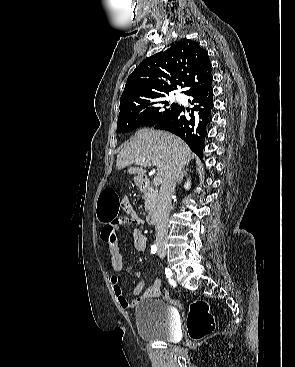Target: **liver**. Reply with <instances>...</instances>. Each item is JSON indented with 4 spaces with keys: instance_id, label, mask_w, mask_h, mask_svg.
Wrapping results in <instances>:
<instances>
[{
    "instance_id": "6515ba94",
    "label": "liver",
    "mask_w": 295,
    "mask_h": 367,
    "mask_svg": "<svg viewBox=\"0 0 295 367\" xmlns=\"http://www.w3.org/2000/svg\"><path fill=\"white\" fill-rule=\"evenodd\" d=\"M192 158L194 154L179 137L168 132L141 129L118 154L116 167L118 170L129 167L130 174L136 173L141 178L154 161L157 175L163 180L174 164L184 167ZM133 164L141 167H132Z\"/></svg>"
}]
</instances>
